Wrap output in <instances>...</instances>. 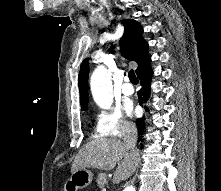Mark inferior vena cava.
I'll return each instance as SVG.
<instances>
[{"label": "inferior vena cava", "instance_id": "1", "mask_svg": "<svg viewBox=\"0 0 221 191\" xmlns=\"http://www.w3.org/2000/svg\"><path fill=\"white\" fill-rule=\"evenodd\" d=\"M137 142V129L135 127H129L126 130L124 136V143L126 147L129 149L130 154L139 159V150L136 148Z\"/></svg>", "mask_w": 221, "mask_h": 191}]
</instances>
